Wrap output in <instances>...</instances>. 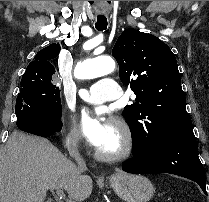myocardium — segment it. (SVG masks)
I'll return each mask as SVG.
<instances>
[{
	"mask_svg": "<svg viewBox=\"0 0 209 202\" xmlns=\"http://www.w3.org/2000/svg\"><path fill=\"white\" fill-rule=\"evenodd\" d=\"M110 123L116 126L122 136V145L112 153L102 152L98 149L94 151V156L97 160L103 162H117L128 158L134 151V138L130 127L127 123L118 117H112Z\"/></svg>",
	"mask_w": 209,
	"mask_h": 202,
	"instance_id": "f54148a6",
	"label": "myocardium"
}]
</instances>
